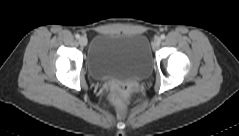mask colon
<instances>
[{
  "label": "colon",
  "instance_id": "1",
  "mask_svg": "<svg viewBox=\"0 0 239 136\" xmlns=\"http://www.w3.org/2000/svg\"><path fill=\"white\" fill-rule=\"evenodd\" d=\"M129 88L127 85H116L112 89V98L114 101H121L124 95L128 92Z\"/></svg>",
  "mask_w": 239,
  "mask_h": 136
}]
</instances>
